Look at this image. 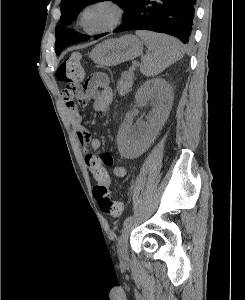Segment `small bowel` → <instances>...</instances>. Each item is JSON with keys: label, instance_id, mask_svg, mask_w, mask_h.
Listing matches in <instances>:
<instances>
[{"label": "small bowel", "instance_id": "obj_1", "mask_svg": "<svg viewBox=\"0 0 245 300\" xmlns=\"http://www.w3.org/2000/svg\"><path fill=\"white\" fill-rule=\"evenodd\" d=\"M77 103L73 99L67 100L71 121L76 131L77 138L85 155V163L89 171L94 175L96 181L94 186L97 190H109L111 188L110 170L116 178H123L127 169L122 165H115L113 157L109 153L95 155L93 151L102 148V140L92 137L89 130L82 124V116L79 106H85L88 102H94V109L98 112L106 111L113 101V91L107 74L97 72L92 74L86 81L84 87L76 96Z\"/></svg>", "mask_w": 245, "mask_h": 300}]
</instances>
